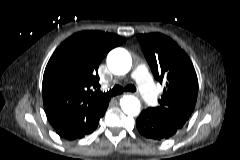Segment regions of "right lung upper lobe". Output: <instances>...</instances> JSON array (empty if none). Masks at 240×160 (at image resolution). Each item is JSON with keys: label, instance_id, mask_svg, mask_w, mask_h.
I'll use <instances>...</instances> for the list:
<instances>
[{"label": "right lung upper lobe", "instance_id": "obj_1", "mask_svg": "<svg viewBox=\"0 0 240 160\" xmlns=\"http://www.w3.org/2000/svg\"><path fill=\"white\" fill-rule=\"evenodd\" d=\"M126 40L101 31H83L66 39L51 56L43 76L42 94L53 128L110 100L99 88L98 66L106 54Z\"/></svg>", "mask_w": 240, "mask_h": 160}]
</instances>
